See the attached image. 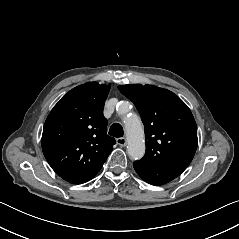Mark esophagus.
I'll return each instance as SVG.
<instances>
[{
    "label": "esophagus",
    "instance_id": "esophagus-1",
    "mask_svg": "<svg viewBox=\"0 0 239 239\" xmlns=\"http://www.w3.org/2000/svg\"><path fill=\"white\" fill-rule=\"evenodd\" d=\"M116 142L120 146H126V144H127V140L125 137L117 138Z\"/></svg>",
    "mask_w": 239,
    "mask_h": 239
}]
</instances>
